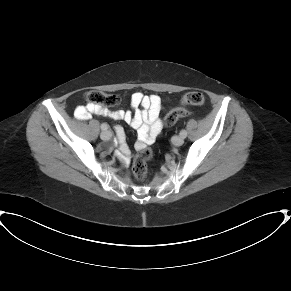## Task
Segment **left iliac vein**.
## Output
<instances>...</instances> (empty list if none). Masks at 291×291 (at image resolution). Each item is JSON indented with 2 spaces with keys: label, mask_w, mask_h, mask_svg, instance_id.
<instances>
[{
  "label": "left iliac vein",
  "mask_w": 291,
  "mask_h": 291,
  "mask_svg": "<svg viewBox=\"0 0 291 291\" xmlns=\"http://www.w3.org/2000/svg\"><path fill=\"white\" fill-rule=\"evenodd\" d=\"M172 143L176 146H180L184 143V138L182 136H174L172 138Z\"/></svg>",
  "instance_id": "1"
}]
</instances>
